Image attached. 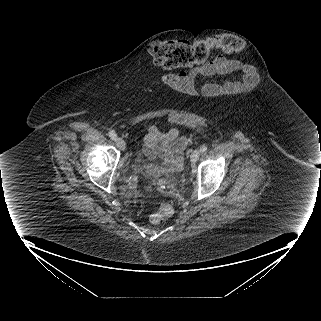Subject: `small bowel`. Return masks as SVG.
<instances>
[{
	"label": "small bowel",
	"instance_id": "c3829d8e",
	"mask_svg": "<svg viewBox=\"0 0 321 321\" xmlns=\"http://www.w3.org/2000/svg\"><path fill=\"white\" fill-rule=\"evenodd\" d=\"M240 69L245 80L225 79L219 84H200L196 93L200 97L207 95L226 94L230 91H252L260 83V76L252 66L239 67L238 62L224 56H218L212 62L195 66L188 71L171 73L165 79L173 87L189 91L194 89L197 78ZM187 147V140L180 131L172 128L161 132L156 126H150L143 138V152L150 158L158 159L164 166V172L169 174L179 170L182 166V153Z\"/></svg>",
	"mask_w": 321,
	"mask_h": 321
}]
</instances>
